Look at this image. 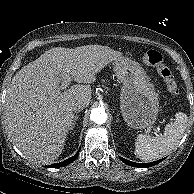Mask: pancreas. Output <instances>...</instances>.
<instances>
[{
	"label": "pancreas",
	"mask_w": 194,
	"mask_h": 194,
	"mask_svg": "<svg viewBox=\"0 0 194 194\" xmlns=\"http://www.w3.org/2000/svg\"><path fill=\"white\" fill-rule=\"evenodd\" d=\"M101 81H102V83H103V87H104V88H108V87H107L108 84L105 82V80H104V79H101Z\"/></svg>",
	"instance_id": "obj_1"
}]
</instances>
